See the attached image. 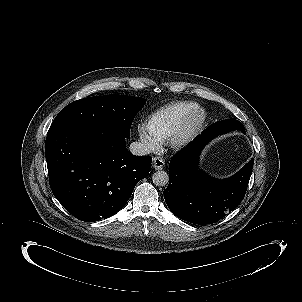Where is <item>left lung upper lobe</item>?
<instances>
[{"instance_id": "1", "label": "left lung upper lobe", "mask_w": 302, "mask_h": 302, "mask_svg": "<svg viewBox=\"0 0 302 302\" xmlns=\"http://www.w3.org/2000/svg\"><path fill=\"white\" fill-rule=\"evenodd\" d=\"M213 129L218 133L222 134L231 130H241L243 133L245 132V127L236 119H227L223 121H219L212 125Z\"/></svg>"}]
</instances>
